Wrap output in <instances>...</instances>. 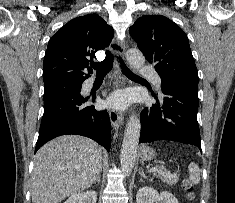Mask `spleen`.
I'll list each match as a JSON object with an SVG mask.
<instances>
[{
  "mask_svg": "<svg viewBox=\"0 0 235 203\" xmlns=\"http://www.w3.org/2000/svg\"><path fill=\"white\" fill-rule=\"evenodd\" d=\"M189 179L194 183L198 184L200 181V169L197 164L191 162L188 166Z\"/></svg>",
  "mask_w": 235,
  "mask_h": 203,
  "instance_id": "spleen-1",
  "label": "spleen"
}]
</instances>
